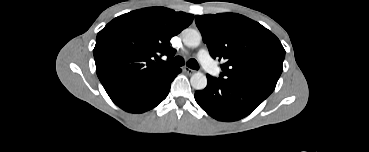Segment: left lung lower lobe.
Here are the masks:
<instances>
[{"instance_id": "obj_1", "label": "left lung lower lobe", "mask_w": 369, "mask_h": 152, "mask_svg": "<svg viewBox=\"0 0 369 152\" xmlns=\"http://www.w3.org/2000/svg\"><path fill=\"white\" fill-rule=\"evenodd\" d=\"M204 90L195 92V100L208 115L219 121H237L249 115L270 94L247 86L225 83L207 75Z\"/></svg>"}]
</instances>
